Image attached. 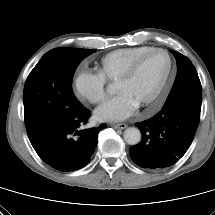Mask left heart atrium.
<instances>
[{
  "mask_svg": "<svg viewBox=\"0 0 215 215\" xmlns=\"http://www.w3.org/2000/svg\"><path fill=\"white\" fill-rule=\"evenodd\" d=\"M138 108L137 103L126 93H118L95 110L99 121L118 122L130 117Z\"/></svg>",
  "mask_w": 215,
  "mask_h": 215,
  "instance_id": "left-heart-atrium-1",
  "label": "left heart atrium"
}]
</instances>
